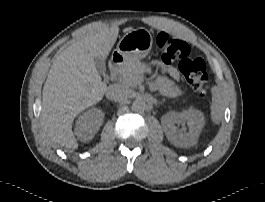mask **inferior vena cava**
Segmentation results:
<instances>
[{"label": "inferior vena cava", "instance_id": "obj_1", "mask_svg": "<svg viewBox=\"0 0 265 202\" xmlns=\"http://www.w3.org/2000/svg\"><path fill=\"white\" fill-rule=\"evenodd\" d=\"M130 96V90L120 84L110 85L106 90V98L114 101L121 102L128 99Z\"/></svg>", "mask_w": 265, "mask_h": 202}]
</instances>
